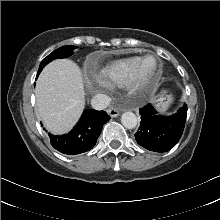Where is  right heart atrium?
Returning <instances> with one entry per match:
<instances>
[{
	"label": "right heart atrium",
	"mask_w": 220,
	"mask_h": 220,
	"mask_svg": "<svg viewBox=\"0 0 220 220\" xmlns=\"http://www.w3.org/2000/svg\"><path fill=\"white\" fill-rule=\"evenodd\" d=\"M93 87L99 91V92H104L106 90H108V84H106L105 82L101 81V80H96L94 83H93Z\"/></svg>",
	"instance_id": "1"
}]
</instances>
